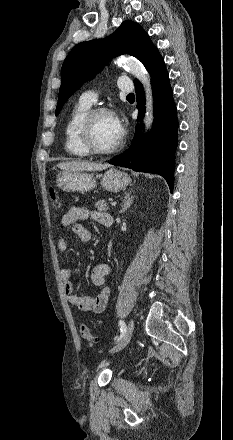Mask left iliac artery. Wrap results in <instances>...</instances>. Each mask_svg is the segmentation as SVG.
Instances as JSON below:
<instances>
[{
	"instance_id": "44dca946",
	"label": "left iliac artery",
	"mask_w": 233,
	"mask_h": 440,
	"mask_svg": "<svg viewBox=\"0 0 233 440\" xmlns=\"http://www.w3.org/2000/svg\"><path fill=\"white\" fill-rule=\"evenodd\" d=\"M119 325H120V329H121V336H120V338L118 340H120L125 335V333H126V324H125V322L121 320L119 322Z\"/></svg>"
}]
</instances>
